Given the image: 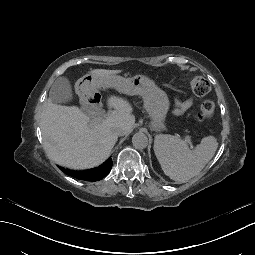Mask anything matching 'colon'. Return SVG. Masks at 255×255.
<instances>
[{"label":"colon","instance_id":"obj_1","mask_svg":"<svg viewBox=\"0 0 255 255\" xmlns=\"http://www.w3.org/2000/svg\"><path fill=\"white\" fill-rule=\"evenodd\" d=\"M190 87L198 96H205L210 91L209 82L200 76H193L188 79ZM215 104L212 100H204L199 108L198 118L200 120H209L214 116Z\"/></svg>","mask_w":255,"mask_h":255}]
</instances>
